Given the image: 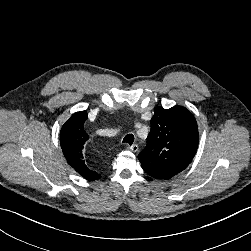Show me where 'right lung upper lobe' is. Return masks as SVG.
Returning a JSON list of instances; mask_svg holds the SVG:
<instances>
[{
  "mask_svg": "<svg viewBox=\"0 0 251 251\" xmlns=\"http://www.w3.org/2000/svg\"><path fill=\"white\" fill-rule=\"evenodd\" d=\"M87 119V112L80 111L73 114L62 126L60 132V144L63 154L72 168L87 180H97L100 174L90 169L85 163L82 150L85 142L89 139L84 130V122Z\"/></svg>",
  "mask_w": 251,
  "mask_h": 251,
  "instance_id": "obj_1",
  "label": "right lung upper lobe"
}]
</instances>
